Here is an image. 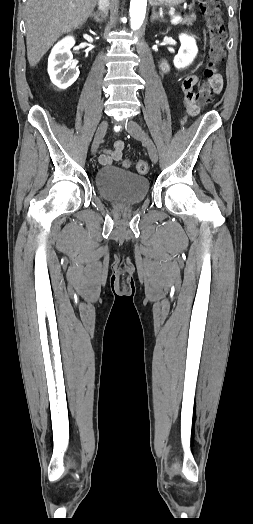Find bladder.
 I'll list each match as a JSON object with an SVG mask.
<instances>
[{
    "label": "bladder",
    "mask_w": 253,
    "mask_h": 524,
    "mask_svg": "<svg viewBox=\"0 0 253 524\" xmlns=\"http://www.w3.org/2000/svg\"><path fill=\"white\" fill-rule=\"evenodd\" d=\"M99 195L118 205H134L145 199L149 191L148 178L115 166L100 168L95 175Z\"/></svg>",
    "instance_id": "bladder-1"
}]
</instances>
